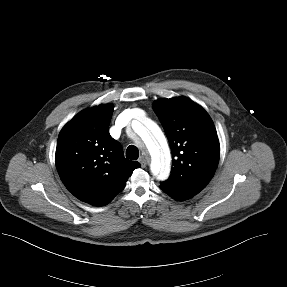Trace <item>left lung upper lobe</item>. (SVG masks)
<instances>
[{
    "label": "left lung upper lobe",
    "instance_id": "left-lung-upper-lobe-1",
    "mask_svg": "<svg viewBox=\"0 0 287 287\" xmlns=\"http://www.w3.org/2000/svg\"><path fill=\"white\" fill-rule=\"evenodd\" d=\"M173 157V168L161 187L183 199L198 194L212 179L220 155L213 121L198 104L186 97L157 100L153 105Z\"/></svg>",
    "mask_w": 287,
    "mask_h": 287
}]
</instances>
